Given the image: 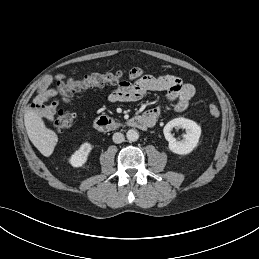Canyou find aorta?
I'll list each match as a JSON object with an SVG mask.
<instances>
[{
  "mask_svg": "<svg viewBox=\"0 0 259 259\" xmlns=\"http://www.w3.org/2000/svg\"><path fill=\"white\" fill-rule=\"evenodd\" d=\"M126 137L129 141L134 142L139 139V133L134 129H130L127 131Z\"/></svg>",
  "mask_w": 259,
  "mask_h": 259,
  "instance_id": "1",
  "label": "aorta"
}]
</instances>
